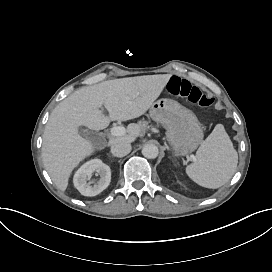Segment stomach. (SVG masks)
Segmentation results:
<instances>
[{
    "mask_svg": "<svg viewBox=\"0 0 272 272\" xmlns=\"http://www.w3.org/2000/svg\"><path fill=\"white\" fill-rule=\"evenodd\" d=\"M151 118L167 130L175 155L193 152L203 141V130L196 115L172 99H159L149 109Z\"/></svg>",
    "mask_w": 272,
    "mask_h": 272,
    "instance_id": "1",
    "label": "stomach"
}]
</instances>
